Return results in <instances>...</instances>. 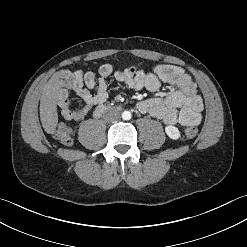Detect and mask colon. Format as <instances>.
Returning a JSON list of instances; mask_svg holds the SVG:
<instances>
[{
	"label": "colon",
	"mask_w": 247,
	"mask_h": 247,
	"mask_svg": "<svg viewBox=\"0 0 247 247\" xmlns=\"http://www.w3.org/2000/svg\"><path fill=\"white\" fill-rule=\"evenodd\" d=\"M128 69L130 73H135L137 71V68L134 66L129 67ZM197 134L198 129L194 126H190L184 131V136L186 138H194ZM54 135L63 144L68 145L72 142V130L65 124H59L55 129Z\"/></svg>",
	"instance_id": "colon-1"
}]
</instances>
